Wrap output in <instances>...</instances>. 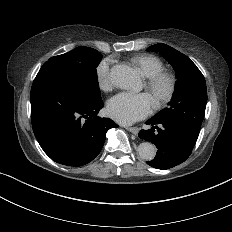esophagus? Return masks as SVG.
<instances>
[{
    "label": "esophagus",
    "mask_w": 232,
    "mask_h": 232,
    "mask_svg": "<svg viewBox=\"0 0 232 232\" xmlns=\"http://www.w3.org/2000/svg\"><path fill=\"white\" fill-rule=\"evenodd\" d=\"M126 130H128L129 132H131L134 135H137L139 132V129L137 127H127Z\"/></svg>",
    "instance_id": "1"
}]
</instances>
